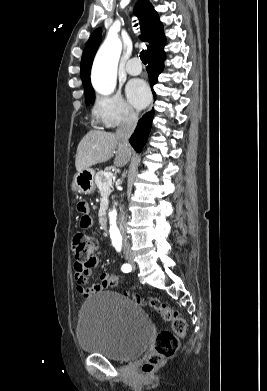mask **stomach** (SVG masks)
Segmentation results:
<instances>
[{"mask_svg": "<svg viewBox=\"0 0 267 391\" xmlns=\"http://www.w3.org/2000/svg\"><path fill=\"white\" fill-rule=\"evenodd\" d=\"M95 190V171L86 169L78 172L72 182V191L78 194H91Z\"/></svg>", "mask_w": 267, "mask_h": 391, "instance_id": "stomach-1", "label": "stomach"}]
</instances>
